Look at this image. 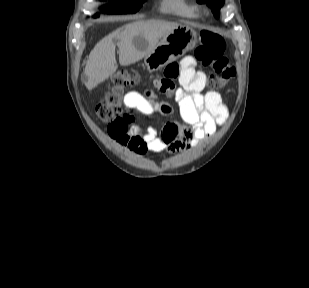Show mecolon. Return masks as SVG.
<instances>
[{
  "label": "colon",
  "mask_w": 309,
  "mask_h": 288,
  "mask_svg": "<svg viewBox=\"0 0 309 288\" xmlns=\"http://www.w3.org/2000/svg\"><path fill=\"white\" fill-rule=\"evenodd\" d=\"M225 43L222 37L210 31L199 34V44L194 51V57L204 67L210 68L209 85L214 90L224 88L234 75V69L225 55ZM139 82L135 73L121 70L114 74L109 84L107 95L96 105V114L104 122H121L130 125L133 115L125 109L120 98L124 89ZM161 93L170 94V85L164 82L156 85Z\"/></svg>",
  "instance_id": "1"
}]
</instances>
